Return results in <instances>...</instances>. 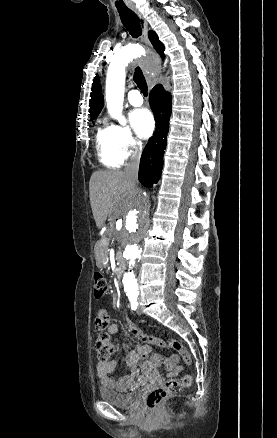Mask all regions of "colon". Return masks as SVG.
Instances as JSON below:
<instances>
[{
  "label": "colon",
  "mask_w": 277,
  "mask_h": 438,
  "mask_svg": "<svg viewBox=\"0 0 277 438\" xmlns=\"http://www.w3.org/2000/svg\"><path fill=\"white\" fill-rule=\"evenodd\" d=\"M94 282V298L95 300L99 301L106 296L108 284L103 273L99 271L95 272L94 274ZM108 322V310L104 307H99L95 317V326H100L104 329L107 327ZM144 341H148L149 343L158 346H168L172 349H175L184 360H189V353L178 341L169 340L168 342H164L161 339L150 337H145ZM95 345L97 348V357L99 361H105L114 351V343L110 335L105 332L97 334L95 338ZM191 384L192 378L190 375H183L178 379L164 380L163 387L160 389H150L149 393L144 394V408L160 409L161 402H165L166 398H174L176 394L190 387Z\"/></svg>",
  "instance_id": "1"
}]
</instances>
